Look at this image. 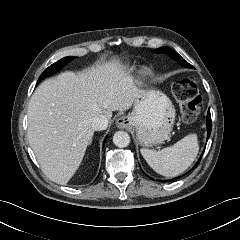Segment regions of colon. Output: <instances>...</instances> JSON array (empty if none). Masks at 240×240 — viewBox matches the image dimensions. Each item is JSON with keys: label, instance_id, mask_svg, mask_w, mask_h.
<instances>
[{"label": "colon", "instance_id": "1", "mask_svg": "<svg viewBox=\"0 0 240 240\" xmlns=\"http://www.w3.org/2000/svg\"><path fill=\"white\" fill-rule=\"evenodd\" d=\"M172 90L180 102L184 122H194L200 113V97L197 83L189 78L177 79L172 84Z\"/></svg>", "mask_w": 240, "mask_h": 240}]
</instances>
